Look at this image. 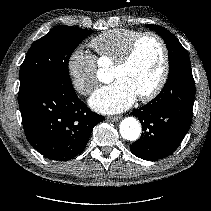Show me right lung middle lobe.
<instances>
[{
	"instance_id": "1",
	"label": "right lung middle lobe",
	"mask_w": 211,
	"mask_h": 211,
	"mask_svg": "<svg viewBox=\"0 0 211 211\" xmlns=\"http://www.w3.org/2000/svg\"><path fill=\"white\" fill-rule=\"evenodd\" d=\"M91 33L81 28L59 25L35 41L20 68V88L40 79L56 80L71 87L69 58Z\"/></svg>"
}]
</instances>
